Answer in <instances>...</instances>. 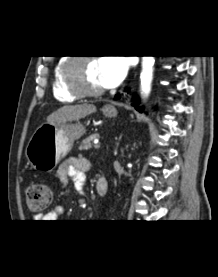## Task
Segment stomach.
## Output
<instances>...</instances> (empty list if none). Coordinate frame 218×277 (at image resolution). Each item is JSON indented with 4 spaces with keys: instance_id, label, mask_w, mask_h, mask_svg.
<instances>
[{
    "instance_id": "stomach-1",
    "label": "stomach",
    "mask_w": 218,
    "mask_h": 277,
    "mask_svg": "<svg viewBox=\"0 0 218 277\" xmlns=\"http://www.w3.org/2000/svg\"><path fill=\"white\" fill-rule=\"evenodd\" d=\"M104 116L112 118L117 110L106 105L102 108ZM85 127L73 123H44L32 134L25 155L28 163L37 171L50 172L71 150L75 140L85 134Z\"/></svg>"
}]
</instances>
